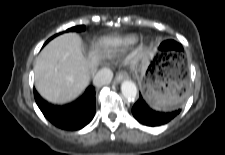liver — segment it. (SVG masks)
Returning a JSON list of instances; mask_svg holds the SVG:
<instances>
[{"instance_id":"1","label":"liver","mask_w":225,"mask_h":155,"mask_svg":"<svg viewBox=\"0 0 225 155\" xmlns=\"http://www.w3.org/2000/svg\"><path fill=\"white\" fill-rule=\"evenodd\" d=\"M108 41V38L103 40ZM148 54V51H140L144 61ZM100 59L98 51L91 52L88 57L84 55L81 38L76 33L62 34L50 41L37 57L34 66L36 89L49 102H72L88 86Z\"/></svg>"}]
</instances>
